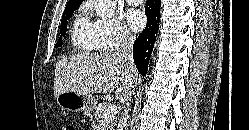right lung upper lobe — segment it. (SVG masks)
Masks as SVG:
<instances>
[{
	"mask_svg": "<svg viewBox=\"0 0 249 130\" xmlns=\"http://www.w3.org/2000/svg\"><path fill=\"white\" fill-rule=\"evenodd\" d=\"M83 2V0H69L67 5L70 4H81Z\"/></svg>",
	"mask_w": 249,
	"mask_h": 130,
	"instance_id": "right-lung-upper-lobe-1",
	"label": "right lung upper lobe"
}]
</instances>
